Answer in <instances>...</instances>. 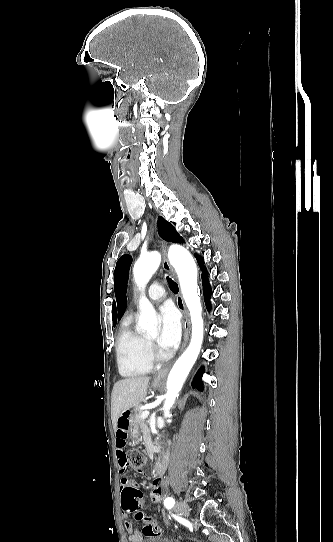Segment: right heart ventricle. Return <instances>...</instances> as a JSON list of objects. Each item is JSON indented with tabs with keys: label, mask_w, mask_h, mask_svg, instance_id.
<instances>
[{
	"label": "right heart ventricle",
	"mask_w": 333,
	"mask_h": 542,
	"mask_svg": "<svg viewBox=\"0 0 333 542\" xmlns=\"http://www.w3.org/2000/svg\"><path fill=\"white\" fill-rule=\"evenodd\" d=\"M118 369L125 377H136L148 373L153 362L146 352V337L137 329V325L122 328L116 337Z\"/></svg>",
	"instance_id": "obj_1"
}]
</instances>
